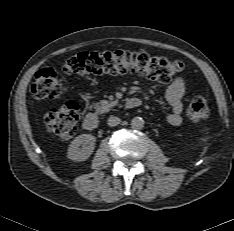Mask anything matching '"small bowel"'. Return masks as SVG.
I'll list each match as a JSON object with an SVG mask.
<instances>
[{
  "instance_id": "1",
  "label": "small bowel",
  "mask_w": 234,
  "mask_h": 231,
  "mask_svg": "<svg viewBox=\"0 0 234 231\" xmlns=\"http://www.w3.org/2000/svg\"><path fill=\"white\" fill-rule=\"evenodd\" d=\"M184 93L185 83L179 77L175 78L165 91V99L171 107L168 122L173 126H179L182 123Z\"/></svg>"
}]
</instances>
